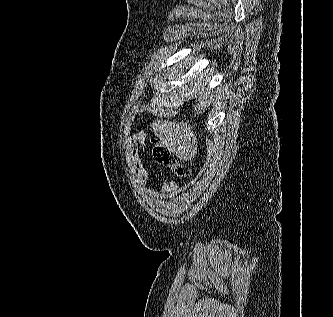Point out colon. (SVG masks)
Listing matches in <instances>:
<instances>
[{"mask_svg": "<svg viewBox=\"0 0 333 317\" xmlns=\"http://www.w3.org/2000/svg\"><path fill=\"white\" fill-rule=\"evenodd\" d=\"M152 153L159 165L170 169L176 176L185 178L189 175V168L180 163L164 145L154 139L152 140Z\"/></svg>", "mask_w": 333, "mask_h": 317, "instance_id": "obj_1", "label": "colon"}]
</instances>
